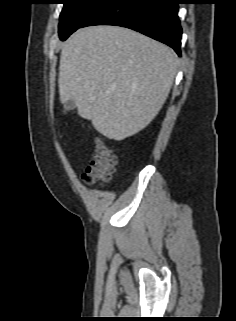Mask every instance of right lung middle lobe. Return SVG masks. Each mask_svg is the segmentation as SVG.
I'll return each mask as SVG.
<instances>
[{"instance_id": "obj_1", "label": "right lung middle lobe", "mask_w": 236, "mask_h": 321, "mask_svg": "<svg viewBox=\"0 0 236 321\" xmlns=\"http://www.w3.org/2000/svg\"><path fill=\"white\" fill-rule=\"evenodd\" d=\"M109 0H62L64 7L59 19L62 41L77 30L93 13Z\"/></svg>"}]
</instances>
